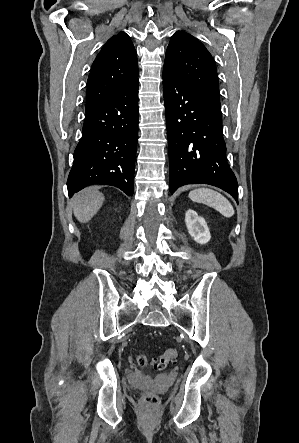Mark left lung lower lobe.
<instances>
[{"label": "left lung lower lobe", "instance_id": "0a47b994", "mask_svg": "<svg viewBox=\"0 0 299 443\" xmlns=\"http://www.w3.org/2000/svg\"><path fill=\"white\" fill-rule=\"evenodd\" d=\"M170 192L185 184L219 187L238 200L226 159L220 103L163 69Z\"/></svg>", "mask_w": 299, "mask_h": 443}]
</instances>
